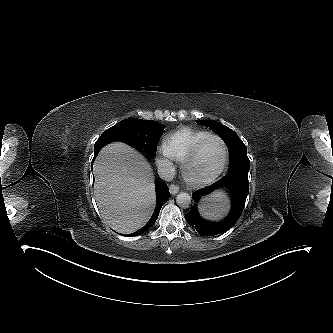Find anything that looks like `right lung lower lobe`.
I'll use <instances>...</instances> for the list:
<instances>
[{"label":"right lung lower lobe","instance_id":"obj_1","mask_svg":"<svg viewBox=\"0 0 333 333\" xmlns=\"http://www.w3.org/2000/svg\"><path fill=\"white\" fill-rule=\"evenodd\" d=\"M115 141H121L130 146L135 147L126 137L119 135L117 133H114V132L104 131L94 145L93 161L103 146H105L106 144H108L110 142H115ZM156 194H157V205H156L155 211H154L151 219L148 221V223L144 227H142L140 230H138L132 234H129V236H131V237L138 236V235L146 232L157 220L161 207L170 198V192H169L168 186L163 182H159V181L156 182Z\"/></svg>","mask_w":333,"mask_h":333}]
</instances>
